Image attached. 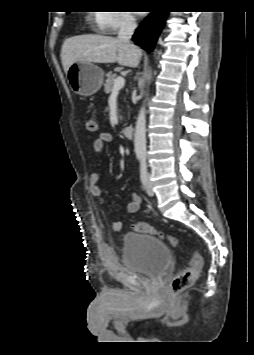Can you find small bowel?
Wrapping results in <instances>:
<instances>
[{"mask_svg": "<svg viewBox=\"0 0 254 355\" xmlns=\"http://www.w3.org/2000/svg\"><path fill=\"white\" fill-rule=\"evenodd\" d=\"M113 137L110 133H101L93 142L92 151L95 154H99L103 151L105 145L110 143ZM99 175L93 172L89 176V190L91 195L96 198L100 203H105V199L102 195L101 189L98 186ZM130 201L126 205V211L130 214L136 213L141 206L142 198L136 193L132 192L130 195ZM111 228L115 232H120L123 228V223L121 221H112Z\"/></svg>", "mask_w": 254, "mask_h": 355, "instance_id": "c3829d8e", "label": "small bowel"}]
</instances>
